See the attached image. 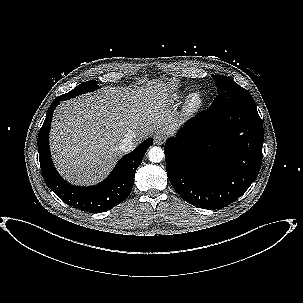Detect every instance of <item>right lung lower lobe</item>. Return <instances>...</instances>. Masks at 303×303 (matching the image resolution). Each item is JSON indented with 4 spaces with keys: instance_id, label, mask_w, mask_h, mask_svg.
<instances>
[{
    "instance_id": "right-lung-lower-lobe-1",
    "label": "right lung lower lobe",
    "mask_w": 303,
    "mask_h": 303,
    "mask_svg": "<svg viewBox=\"0 0 303 303\" xmlns=\"http://www.w3.org/2000/svg\"><path fill=\"white\" fill-rule=\"evenodd\" d=\"M64 97L58 96L50 105L45 121L38 135L39 161L44 180L68 205L85 212H104L124 201L130 194L136 169L143 160L153 139L143 141L131 153L123 156L111 174L100 184L91 187H77L66 182L56 171L49 151V131L52 115Z\"/></svg>"
}]
</instances>
